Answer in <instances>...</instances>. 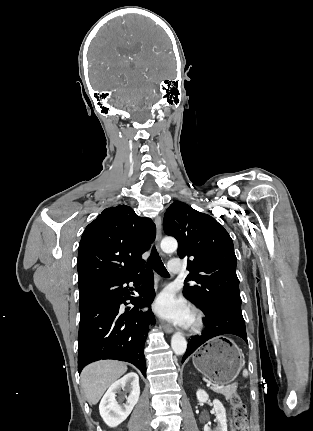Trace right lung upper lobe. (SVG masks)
Segmentation results:
<instances>
[{"label": "right lung upper lobe", "mask_w": 313, "mask_h": 431, "mask_svg": "<svg viewBox=\"0 0 313 431\" xmlns=\"http://www.w3.org/2000/svg\"><path fill=\"white\" fill-rule=\"evenodd\" d=\"M156 227L127 205L105 209L90 223L78 251V283L137 274L145 261Z\"/></svg>", "instance_id": "obj_1"}]
</instances>
